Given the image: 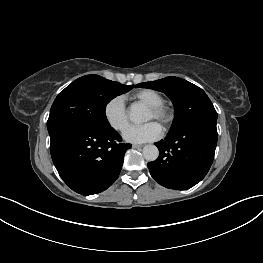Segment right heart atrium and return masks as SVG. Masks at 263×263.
Here are the masks:
<instances>
[{
  "instance_id": "obj_1",
  "label": "right heart atrium",
  "mask_w": 263,
  "mask_h": 263,
  "mask_svg": "<svg viewBox=\"0 0 263 263\" xmlns=\"http://www.w3.org/2000/svg\"><path fill=\"white\" fill-rule=\"evenodd\" d=\"M103 114L112 129L124 131L129 122L124 96L117 95L109 99L104 106Z\"/></svg>"
}]
</instances>
